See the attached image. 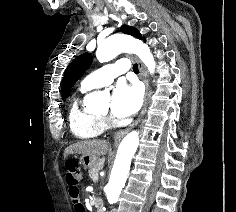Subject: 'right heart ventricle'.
<instances>
[{"instance_id": "1", "label": "right heart ventricle", "mask_w": 236, "mask_h": 212, "mask_svg": "<svg viewBox=\"0 0 236 212\" xmlns=\"http://www.w3.org/2000/svg\"><path fill=\"white\" fill-rule=\"evenodd\" d=\"M91 89L82 86L72 99L69 109V123L72 133L80 139H91L101 135L107 128L105 119L87 111L82 104L83 96Z\"/></svg>"}]
</instances>
